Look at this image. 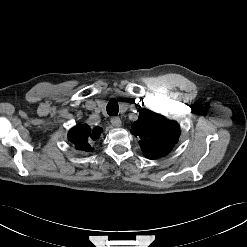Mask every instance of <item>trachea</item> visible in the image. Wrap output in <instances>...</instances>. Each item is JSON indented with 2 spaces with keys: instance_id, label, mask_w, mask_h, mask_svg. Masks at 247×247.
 <instances>
[{
  "instance_id": "trachea-1",
  "label": "trachea",
  "mask_w": 247,
  "mask_h": 247,
  "mask_svg": "<svg viewBox=\"0 0 247 247\" xmlns=\"http://www.w3.org/2000/svg\"><path fill=\"white\" fill-rule=\"evenodd\" d=\"M107 113L110 116H117L118 111H119V106L118 103L115 99H112L106 107Z\"/></svg>"
}]
</instances>
